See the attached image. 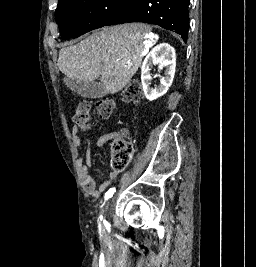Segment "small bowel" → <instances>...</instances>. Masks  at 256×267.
Here are the masks:
<instances>
[{
    "mask_svg": "<svg viewBox=\"0 0 256 267\" xmlns=\"http://www.w3.org/2000/svg\"><path fill=\"white\" fill-rule=\"evenodd\" d=\"M73 142L75 147L80 148L84 142V138L81 135L78 128L74 127L72 130ZM114 141L117 140V137H114L110 134L101 136L98 140L96 145L98 147L103 146L107 141ZM92 166V159L90 155V149L88 148L85 155L78 156L77 158V170L78 175L81 180L82 187L84 191L93 198H98L103 192H105L114 179L117 176L116 171L110 172L109 176L100 183L98 187H96L95 182L91 175L89 174V170Z\"/></svg>",
    "mask_w": 256,
    "mask_h": 267,
    "instance_id": "1",
    "label": "small bowel"
}]
</instances>
